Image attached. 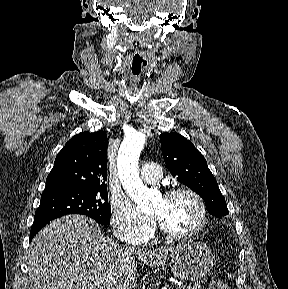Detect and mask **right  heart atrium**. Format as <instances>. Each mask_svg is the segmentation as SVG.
Returning a JSON list of instances; mask_svg holds the SVG:
<instances>
[{
	"instance_id": "1",
	"label": "right heart atrium",
	"mask_w": 288,
	"mask_h": 289,
	"mask_svg": "<svg viewBox=\"0 0 288 289\" xmlns=\"http://www.w3.org/2000/svg\"><path fill=\"white\" fill-rule=\"evenodd\" d=\"M111 210L113 233L119 240L138 245L152 236L153 222L142 216L126 199H114Z\"/></svg>"
}]
</instances>
